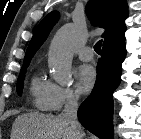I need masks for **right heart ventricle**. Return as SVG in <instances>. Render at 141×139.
I'll list each match as a JSON object with an SVG mask.
<instances>
[{"label": "right heart ventricle", "instance_id": "1", "mask_svg": "<svg viewBox=\"0 0 141 139\" xmlns=\"http://www.w3.org/2000/svg\"><path fill=\"white\" fill-rule=\"evenodd\" d=\"M30 95L32 104L37 110H49L51 82L34 76L30 82Z\"/></svg>", "mask_w": 141, "mask_h": 139}]
</instances>
